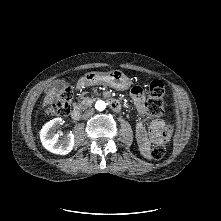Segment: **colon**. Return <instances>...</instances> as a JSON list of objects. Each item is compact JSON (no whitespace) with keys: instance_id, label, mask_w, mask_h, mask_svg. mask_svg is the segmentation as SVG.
<instances>
[{"instance_id":"obj_1","label":"colon","mask_w":221,"mask_h":221,"mask_svg":"<svg viewBox=\"0 0 221 221\" xmlns=\"http://www.w3.org/2000/svg\"><path fill=\"white\" fill-rule=\"evenodd\" d=\"M165 87L160 80L151 82L148 89V99L146 106L148 111L154 116H161L164 112L163 98ZM72 92L69 88L65 89L56 102L47 107L46 113L51 116H66L71 111ZM164 143H157L149 150V157L155 160L161 159L165 155Z\"/></svg>"}]
</instances>
